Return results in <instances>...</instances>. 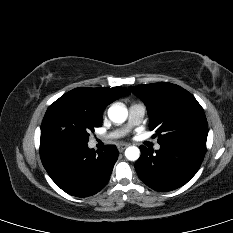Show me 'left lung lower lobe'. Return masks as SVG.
<instances>
[{
    "label": "left lung lower lobe",
    "instance_id": "left-lung-lower-lobe-1",
    "mask_svg": "<svg viewBox=\"0 0 233 233\" xmlns=\"http://www.w3.org/2000/svg\"><path fill=\"white\" fill-rule=\"evenodd\" d=\"M135 163L140 179L150 188L166 192L185 185L198 171L206 153V142L187 140L160 144L155 153L140 146Z\"/></svg>",
    "mask_w": 233,
    "mask_h": 233
}]
</instances>
